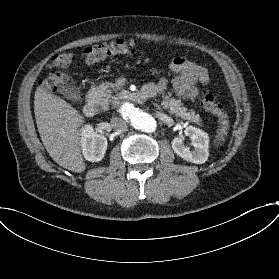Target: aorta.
<instances>
[{"instance_id":"762f6f07","label":"aorta","mask_w":279,"mask_h":279,"mask_svg":"<svg viewBox=\"0 0 279 279\" xmlns=\"http://www.w3.org/2000/svg\"><path fill=\"white\" fill-rule=\"evenodd\" d=\"M120 112L124 117L129 118L135 129L146 133L156 130V120L151 115L136 108L132 103L124 102L120 107Z\"/></svg>"}]
</instances>
